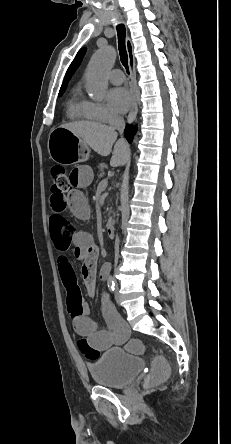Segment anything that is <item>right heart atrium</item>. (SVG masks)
<instances>
[{
  "instance_id": "right-heart-atrium-1",
  "label": "right heart atrium",
  "mask_w": 231,
  "mask_h": 444,
  "mask_svg": "<svg viewBox=\"0 0 231 444\" xmlns=\"http://www.w3.org/2000/svg\"><path fill=\"white\" fill-rule=\"evenodd\" d=\"M87 105L92 117L99 121H109L117 117L116 113L112 111L107 105L96 101H87Z\"/></svg>"
}]
</instances>
